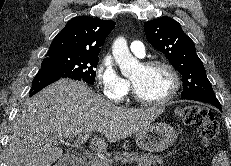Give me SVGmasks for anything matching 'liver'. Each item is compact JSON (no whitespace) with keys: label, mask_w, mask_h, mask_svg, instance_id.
<instances>
[{"label":"liver","mask_w":231,"mask_h":166,"mask_svg":"<svg viewBox=\"0 0 231 166\" xmlns=\"http://www.w3.org/2000/svg\"><path fill=\"white\" fill-rule=\"evenodd\" d=\"M163 111L117 106L83 82L60 79L19 110L10 128L6 166H51L63 155L59 139L100 132L108 142H117L150 125ZM106 140L95 137L91 144L105 150Z\"/></svg>","instance_id":"obj_1"}]
</instances>
